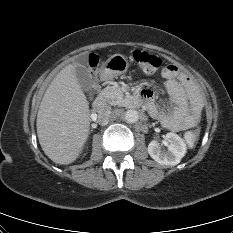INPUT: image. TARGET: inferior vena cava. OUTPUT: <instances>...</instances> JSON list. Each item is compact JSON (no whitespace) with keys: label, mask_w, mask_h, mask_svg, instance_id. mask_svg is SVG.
Here are the masks:
<instances>
[{"label":"inferior vena cava","mask_w":233,"mask_h":233,"mask_svg":"<svg viewBox=\"0 0 233 233\" xmlns=\"http://www.w3.org/2000/svg\"><path fill=\"white\" fill-rule=\"evenodd\" d=\"M115 117L111 107L104 106L98 110L97 122L100 125H107L111 118Z\"/></svg>","instance_id":"602c4592"}]
</instances>
